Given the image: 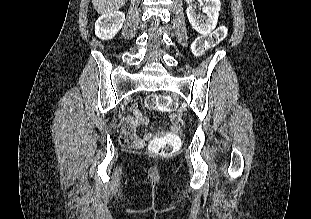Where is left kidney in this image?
Instances as JSON below:
<instances>
[{
	"label": "left kidney",
	"instance_id": "5707ae66",
	"mask_svg": "<svg viewBox=\"0 0 311 219\" xmlns=\"http://www.w3.org/2000/svg\"><path fill=\"white\" fill-rule=\"evenodd\" d=\"M221 3L220 0H203L205 15H197L193 7L187 8V17L192 27L200 34H209L217 25Z\"/></svg>",
	"mask_w": 311,
	"mask_h": 219
}]
</instances>
